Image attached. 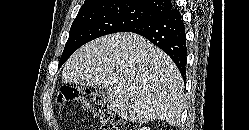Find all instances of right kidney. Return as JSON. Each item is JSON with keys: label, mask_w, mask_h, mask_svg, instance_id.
<instances>
[{"label": "right kidney", "mask_w": 249, "mask_h": 130, "mask_svg": "<svg viewBox=\"0 0 249 130\" xmlns=\"http://www.w3.org/2000/svg\"><path fill=\"white\" fill-rule=\"evenodd\" d=\"M140 130H149L147 127L140 128Z\"/></svg>", "instance_id": "obj_1"}]
</instances>
